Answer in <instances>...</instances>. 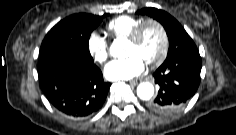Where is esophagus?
<instances>
[{"label":"esophagus","mask_w":236,"mask_h":135,"mask_svg":"<svg viewBox=\"0 0 236 135\" xmlns=\"http://www.w3.org/2000/svg\"><path fill=\"white\" fill-rule=\"evenodd\" d=\"M139 82H141V79H135V80H130L129 83L132 85H137Z\"/></svg>","instance_id":"esophagus-1"}]
</instances>
